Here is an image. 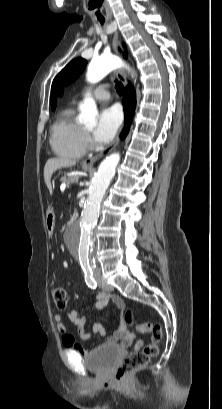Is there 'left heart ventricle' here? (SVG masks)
<instances>
[{
  "mask_svg": "<svg viewBox=\"0 0 222 409\" xmlns=\"http://www.w3.org/2000/svg\"><path fill=\"white\" fill-rule=\"evenodd\" d=\"M93 129H94L93 126L87 127V130H88V131H92Z\"/></svg>",
  "mask_w": 222,
  "mask_h": 409,
  "instance_id": "1",
  "label": "left heart ventricle"
}]
</instances>
